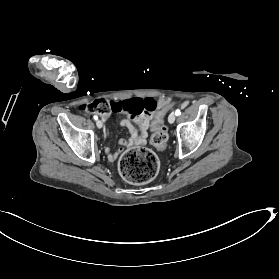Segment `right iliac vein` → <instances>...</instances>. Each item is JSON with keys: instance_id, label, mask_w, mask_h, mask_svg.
Returning a JSON list of instances; mask_svg holds the SVG:
<instances>
[{"instance_id": "63e3f726", "label": "right iliac vein", "mask_w": 279, "mask_h": 279, "mask_svg": "<svg viewBox=\"0 0 279 279\" xmlns=\"http://www.w3.org/2000/svg\"><path fill=\"white\" fill-rule=\"evenodd\" d=\"M96 125H97L98 128H102L103 123H102L101 120H97V121H96Z\"/></svg>"}]
</instances>
